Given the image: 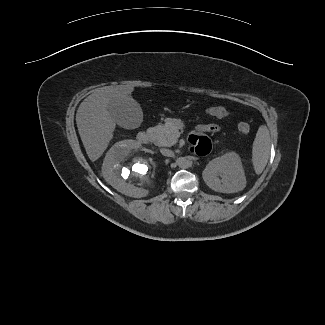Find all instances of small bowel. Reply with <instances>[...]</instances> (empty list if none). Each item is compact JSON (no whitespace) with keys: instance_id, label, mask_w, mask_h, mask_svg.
Masks as SVG:
<instances>
[{"instance_id":"obj_1","label":"small bowel","mask_w":325,"mask_h":325,"mask_svg":"<svg viewBox=\"0 0 325 325\" xmlns=\"http://www.w3.org/2000/svg\"><path fill=\"white\" fill-rule=\"evenodd\" d=\"M199 132H216L218 130L216 125L201 124L197 126ZM211 140L206 136L192 135L190 137V151L196 155H206L211 151Z\"/></svg>"}]
</instances>
